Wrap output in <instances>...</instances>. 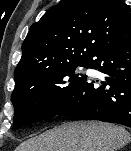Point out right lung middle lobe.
Wrapping results in <instances>:
<instances>
[{"mask_svg":"<svg viewBox=\"0 0 131 151\" xmlns=\"http://www.w3.org/2000/svg\"><path fill=\"white\" fill-rule=\"evenodd\" d=\"M78 66H88V63L53 70L15 88L11 95L14 127L54 117L86 80V75L74 73Z\"/></svg>","mask_w":131,"mask_h":151,"instance_id":"right-lung-middle-lobe-1","label":"right lung middle lobe"}]
</instances>
